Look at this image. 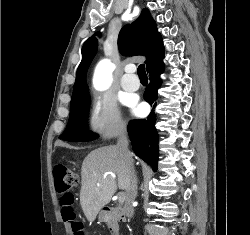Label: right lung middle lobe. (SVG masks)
I'll use <instances>...</instances> for the list:
<instances>
[{"label":"right lung middle lobe","instance_id":"dd1d6c3e","mask_svg":"<svg viewBox=\"0 0 250 235\" xmlns=\"http://www.w3.org/2000/svg\"><path fill=\"white\" fill-rule=\"evenodd\" d=\"M90 97L88 92L71 100V111L66 130L60 135L65 141L85 142L98 137L97 134L88 132L87 118L89 113Z\"/></svg>","mask_w":250,"mask_h":235}]
</instances>
